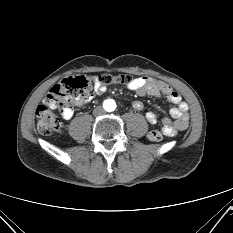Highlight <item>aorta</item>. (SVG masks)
Wrapping results in <instances>:
<instances>
[{
	"label": "aorta",
	"mask_w": 233,
	"mask_h": 233,
	"mask_svg": "<svg viewBox=\"0 0 233 233\" xmlns=\"http://www.w3.org/2000/svg\"><path fill=\"white\" fill-rule=\"evenodd\" d=\"M107 110L113 111L115 109V103L112 100L106 102Z\"/></svg>",
	"instance_id": "obj_1"
}]
</instances>
